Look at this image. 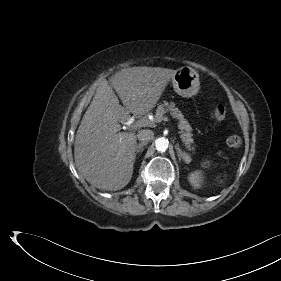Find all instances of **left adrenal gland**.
<instances>
[{
    "label": "left adrenal gland",
    "mask_w": 281,
    "mask_h": 281,
    "mask_svg": "<svg viewBox=\"0 0 281 281\" xmlns=\"http://www.w3.org/2000/svg\"><path fill=\"white\" fill-rule=\"evenodd\" d=\"M176 150L179 160L182 159L187 163L188 155L179 148V145L176 146Z\"/></svg>",
    "instance_id": "a2214340"
}]
</instances>
